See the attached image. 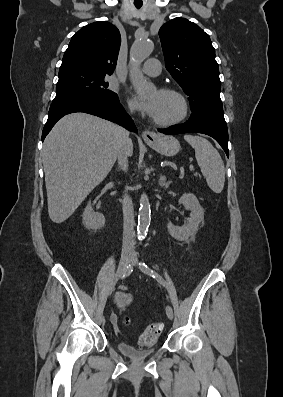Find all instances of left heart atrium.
Masks as SVG:
<instances>
[{"mask_svg":"<svg viewBox=\"0 0 283 397\" xmlns=\"http://www.w3.org/2000/svg\"><path fill=\"white\" fill-rule=\"evenodd\" d=\"M133 103L142 112L148 114L149 116H152V117L154 116V114L156 112V100L155 99L143 100L139 96L134 95Z\"/></svg>","mask_w":283,"mask_h":397,"instance_id":"39dd6f15","label":"left heart atrium"}]
</instances>
